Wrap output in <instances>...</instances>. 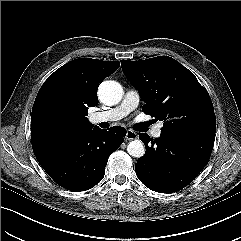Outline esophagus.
Masks as SVG:
<instances>
[{"instance_id":"obj_1","label":"esophagus","mask_w":241,"mask_h":241,"mask_svg":"<svg viewBox=\"0 0 241 241\" xmlns=\"http://www.w3.org/2000/svg\"><path fill=\"white\" fill-rule=\"evenodd\" d=\"M138 138V134L133 131V130H127V133H126V139L127 140H135Z\"/></svg>"}]
</instances>
